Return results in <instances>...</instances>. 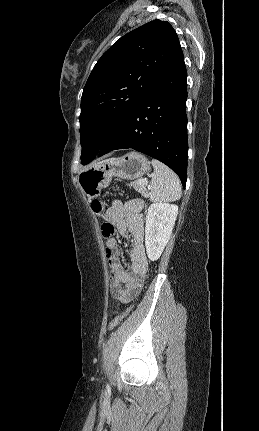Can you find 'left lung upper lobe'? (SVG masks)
<instances>
[{
  "mask_svg": "<svg viewBox=\"0 0 259 431\" xmlns=\"http://www.w3.org/2000/svg\"><path fill=\"white\" fill-rule=\"evenodd\" d=\"M181 51L171 24L153 20L117 40L98 60L83 90L81 162H91Z\"/></svg>",
  "mask_w": 259,
  "mask_h": 431,
  "instance_id": "5c2ea615",
  "label": "left lung upper lobe"
}]
</instances>
